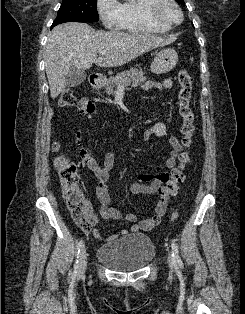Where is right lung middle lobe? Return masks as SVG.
<instances>
[{
    "mask_svg": "<svg viewBox=\"0 0 245 314\" xmlns=\"http://www.w3.org/2000/svg\"><path fill=\"white\" fill-rule=\"evenodd\" d=\"M98 21L97 0H63L52 27L65 22Z\"/></svg>",
    "mask_w": 245,
    "mask_h": 314,
    "instance_id": "dd1d6c3e",
    "label": "right lung middle lobe"
}]
</instances>
